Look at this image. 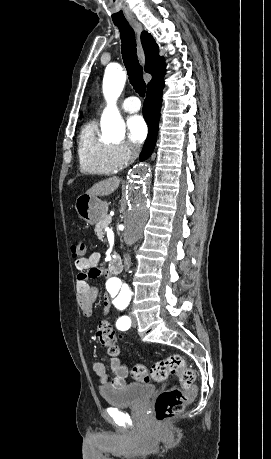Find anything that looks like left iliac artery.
Here are the masks:
<instances>
[{
  "label": "left iliac artery",
  "mask_w": 271,
  "mask_h": 459,
  "mask_svg": "<svg viewBox=\"0 0 271 459\" xmlns=\"http://www.w3.org/2000/svg\"><path fill=\"white\" fill-rule=\"evenodd\" d=\"M127 305H128L127 303H120L119 307L124 309ZM130 326H131V319L128 316H123L119 318L116 322V327L121 331L128 330Z\"/></svg>",
  "instance_id": "obj_1"
}]
</instances>
